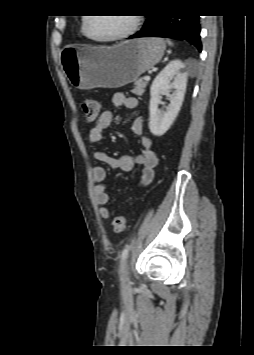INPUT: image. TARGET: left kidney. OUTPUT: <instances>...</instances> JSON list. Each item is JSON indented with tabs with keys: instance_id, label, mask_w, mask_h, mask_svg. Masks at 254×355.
I'll list each match as a JSON object with an SVG mask.
<instances>
[{
	"instance_id": "left-kidney-1",
	"label": "left kidney",
	"mask_w": 254,
	"mask_h": 355,
	"mask_svg": "<svg viewBox=\"0 0 254 355\" xmlns=\"http://www.w3.org/2000/svg\"><path fill=\"white\" fill-rule=\"evenodd\" d=\"M185 64L175 59L156 76L150 88V121L149 129L155 136L165 134L177 117L186 91L187 73ZM173 79V81H171ZM167 89H174L170 96V104L166 111H161L158 105L161 101V93Z\"/></svg>"
}]
</instances>
